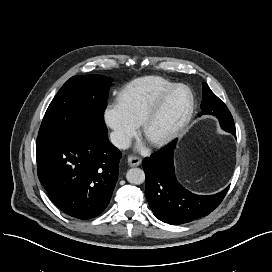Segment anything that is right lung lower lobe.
Listing matches in <instances>:
<instances>
[{"mask_svg":"<svg viewBox=\"0 0 272 272\" xmlns=\"http://www.w3.org/2000/svg\"><path fill=\"white\" fill-rule=\"evenodd\" d=\"M36 154L39 180L60 210L78 219H90L106 208L122 156L107 133L39 136Z\"/></svg>","mask_w":272,"mask_h":272,"instance_id":"1","label":"right lung lower lobe"}]
</instances>
